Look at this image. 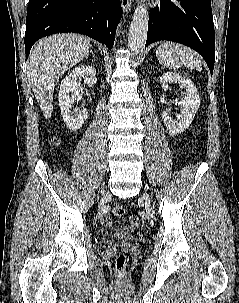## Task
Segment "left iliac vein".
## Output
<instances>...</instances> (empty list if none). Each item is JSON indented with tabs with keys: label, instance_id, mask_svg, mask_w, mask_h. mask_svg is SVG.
<instances>
[{
	"label": "left iliac vein",
	"instance_id": "1",
	"mask_svg": "<svg viewBox=\"0 0 239 303\" xmlns=\"http://www.w3.org/2000/svg\"><path fill=\"white\" fill-rule=\"evenodd\" d=\"M143 199L145 200L146 209L150 210V198L147 193L143 194Z\"/></svg>",
	"mask_w": 239,
	"mask_h": 303
}]
</instances>
